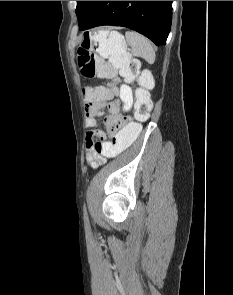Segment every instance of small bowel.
<instances>
[{"label": "small bowel", "instance_id": "obj_1", "mask_svg": "<svg viewBox=\"0 0 233 295\" xmlns=\"http://www.w3.org/2000/svg\"><path fill=\"white\" fill-rule=\"evenodd\" d=\"M133 105V92L128 84H122L116 90L112 87H107L106 93L103 96L85 98V115L86 126L89 128L98 127V118L102 117L106 109L108 115L104 118V125L109 129H120L128 121L131 120L129 112ZM99 140L107 141V135L103 130L95 129L89 131L86 135V163L91 168L106 162V156L97 152L93 147V142Z\"/></svg>", "mask_w": 233, "mask_h": 295}]
</instances>
